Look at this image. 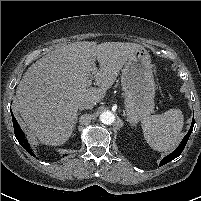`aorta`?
<instances>
[{
  "instance_id": "762f6f07",
  "label": "aorta",
  "mask_w": 201,
  "mask_h": 201,
  "mask_svg": "<svg viewBox=\"0 0 201 201\" xmlns=\"http://www.w3.org/2000/svg\"><path fill=\"white\" fill-rule=\"evenodd\" d=\"M100 121L103 124L111 125L115 121V115L110 111H105L100 115Z\"/></svg>"
}]
</instances>
